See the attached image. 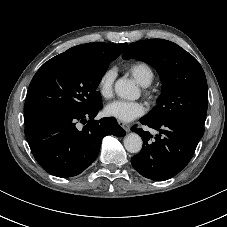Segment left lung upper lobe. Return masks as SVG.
Listing matches in <instances>:
<instances>
[{"mask_svg":"<svg viewBox=\"0 0 227 227\" xmlns=\"http://www.w3.org/2000/svg\"><path fill=\"white\" fill-rule=\"evenodd\" d=\"M124 59L134 58L153 66L162 82L158 105L145 116L153 122L187 120L204 126L208 90L199 62L177 44L150 39L131 43Z\"/></svg>","mask_w":227,"mask_h":227,"instance_id":"1","label":"left lung upper lobe"}]
</instances>
